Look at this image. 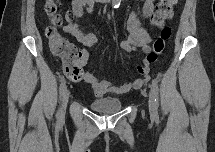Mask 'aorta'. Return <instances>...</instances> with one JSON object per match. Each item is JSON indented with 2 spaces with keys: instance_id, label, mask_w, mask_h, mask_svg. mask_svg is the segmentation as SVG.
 I'll list each match as a JSON object with an SVG mask.
<instances>
[{
  "instance_id": "762f6f07",
  "label": "aorta",
  "mask_w": 215,
  "mask_h": 152,
  "mask_svg": "<svg viewBox=\"0 0 215 152\" xmlns=\"http://www.w3.org/2000/svg\"><path fill=\"white\" fill-rule=\"evenodd\" d=\"M112 4L114 7H117L120 5V0H112Z\"/></svg>"
}]
</instances>
